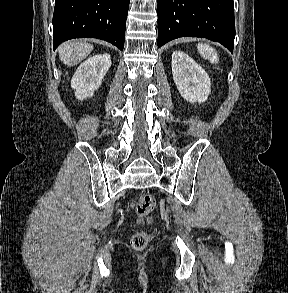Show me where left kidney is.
I'll list each match as a JSON object with an SVG mask.
<instances>
[{
  "label": "left kidney",
  "instance_id": "1",
  "mask_svg": "<svg viewBox=\"0 0 288 293\" xmlns=\"http://www.w3.org/2000/svg\"><path fill=\"white\" fill-rule=\"evenodd\" d=\"M173 80L181 96L190 103L205 102L211 92L208 74L187 54H172Z\"/></svg>",
  "mask_w": 288,
  "mask_h": 293
}]
</instances>
